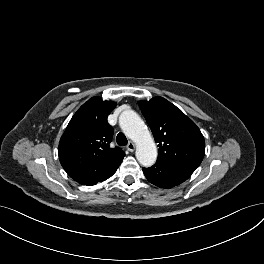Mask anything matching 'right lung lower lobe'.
<instances>
[{"label":"right lung lower lobe","instance_id":"right-lung-lower-lobe-1","mask_svg":"<svg viewBox=\"0 0 264 264\" xmlns=\"http://www.w3.org/2000/svg\"><path fill=\"white\" fill-rule=\"evenodd\" d=\"M119 165H120V164H119ZM119 165L116 166L115 168H113V169H112L110 172H108L106 175H104L103 177H101L100 179L96 180L95 182H93V183H91V184H89V185H95L96 183L101 182V181H104V180H106L107 178L111 177V176L116 172V170H117V168L119 167Z\"/></svg>","mask_w":264,"mask_h":264}]
</instances>
